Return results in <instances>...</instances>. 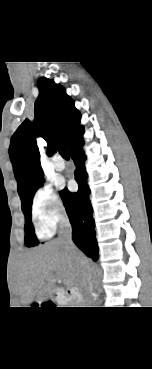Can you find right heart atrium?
I'll return each instance as SVG.
<instances>
[{
  "label": "right heart atrium",
  "mask_w": 152,
  "mask_h": 369,
  "mask_svg": "<svg viewBox=\"0 0 152 369\" xmlns=\"http://www.w3.org/2000/svg\"><path fill=\"white\" fill-rule=\"evenodd\" d=\"M31 213L38 232L50 235L65 217V206L60 196L50 186L44 185L33 195Z\"/></svg>",
  "instance_id": "right-heart-atrium-1"
}]
</instances>
